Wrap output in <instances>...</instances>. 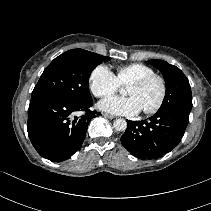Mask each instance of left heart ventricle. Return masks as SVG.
<instances>
[{
	"instance_id": "left-heart-ventricle-1",
	"label": "left heart ventricle",
	"mask_w": 211,
	"mask_h": 211,
	"mask_svg": "<svg viewBox=\"0 0 211 211\" xmlns=\"http://www.w3.org/2000/svg\"><path fill=\"white\" fill-rule=\"evenodd\" d=\"M127 94L137 99L142 110H147L158 102L161 95V85L158 81H152L144 87L129 86Z\"/></svg>"
}]
</instances>
